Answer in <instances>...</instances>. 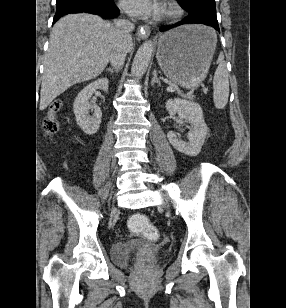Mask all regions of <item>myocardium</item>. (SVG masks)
<instances>
[{
    "mask_svg": "<svg viewBox=\"0 0 286 308\" xmlns=\"http://www.w3.org/2000/svg\"><path fill=\"white\" fill-rule=\"evenodd\" d=\"M181 14V9L178 5L170 2L164 6L162 16L166 19H172Z\"/></svg>",
    "mask_w": 286,
    "mask_h": 308,
    "instance_id": "myocardium-1",
    "label": "myocardium"
}]
</instances>
